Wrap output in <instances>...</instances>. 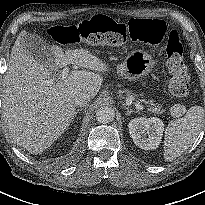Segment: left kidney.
<instances>
[{
    "instance_id": "5707ae66",
    "label": "left kidney",
    "mask_w": 205,
    "mask_h": 205,
    "mask_svg": "<svg viewBox=\"0 0 205 205\" xmlns=\"http://www.w3.org/2000/svg\"><path fill=\"white\" fill-rule=\"evenodd\" d=\"M129 133L133 142L144 150L156 149L162 139L164 123L160 118H134L129 124Z\"/></svg>"
}]
</instances>
